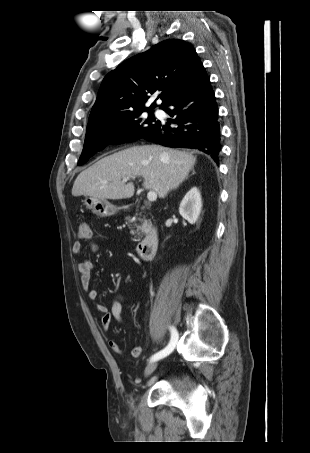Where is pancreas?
Wrapping results in <instances>:
<instances>
[{
    "mask_svg": "<svg viewBox=\"0 0 310 453\" xmlns=\"http://www.w3.org/2000/svg\"><path fill=\"white\" fill-rule=\"evenodd\" d=\"M126 220L130 222V216L126 217ZM150 227V221L149 220H141V225L135 224V230L132 231V234L134 235V241H140V236H142L143 233L147 232Z\"/></svg>",
    "mask_w": 310,
    "mask_h": 453,
    "instance_id": "cf45deb5",
    "label": "pancreas"
}]
</instances>
